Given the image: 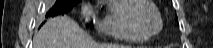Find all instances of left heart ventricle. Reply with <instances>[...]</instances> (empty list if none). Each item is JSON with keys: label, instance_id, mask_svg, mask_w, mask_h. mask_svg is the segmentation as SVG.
<instances>
[{"label": "left heart ventricle", "instance_id": "1", "mask_svg": "<svg viewBox=\"0 0 213 48\" xmlns=\"http://www.w3.org/2000/svg\"><path fill=\"white\" fill-rule=\"evenodd\" d=\"M136 19L140 28L146 33L155 32L159 27L155 12L148 6L140 7L136 13Z\"/></svg>", "mask_w": 213, "mask_h": 48}]
</instances>
